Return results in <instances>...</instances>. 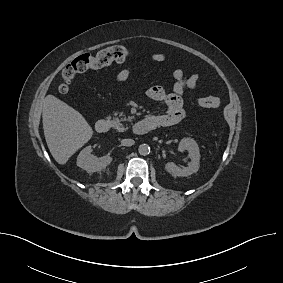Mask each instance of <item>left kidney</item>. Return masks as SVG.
Wrapping results in <instances>:
<instances>
[{"label":"left kidney","instance_id":"left-kidney-1","mask_svg":"<svg viewBox=\"0 0 283 283\" xmlns=\"http://www.w3.org/2000/svg\"><path fill=\"white\" fill-rule=\"evenodd\" d=\"M179 151H188L191 161L187 167L180 168L173 162H168L165 165V169L173 177H186L193 173H196L199 169L200 153L199 147L195 140L191 138H183L178 147Z\"/></svg>","mask_w":283,"mask_h":283}]
</instances>
